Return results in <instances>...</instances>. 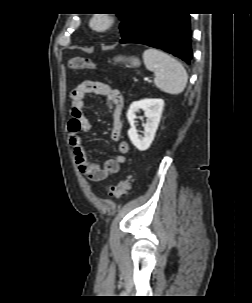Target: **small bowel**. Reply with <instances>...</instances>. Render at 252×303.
Masks as SVG:
<instances>
[{"mask_svg": "<svg viewBox=\"0 0 252 303\" xmlns=\"http://www.w3.org/2000/svg\"><path fill=\"white\" fill-rule=\"evenodd\" d=\"M89 94L104 96L108 102L112 117V128L110 138L116 143L118 154L106 160L102 166L92 163L86 154L84 141L81 133L92 129V124L85 116L83 108L85 99ZM72 118L74 122L69 129L70 144L74 148V158L78 170L93 182L104 181L107 177L116 174L121 165L126 163L125 154L129 150V145L121 139L123 128L122 119V95L117 89L97 81H83L73 90L71 94Z\"/></svg>", "mask_w": 252, "mask_h": 303, "instance_id": "obj_1", "label": "small bowel"}]
</instances>
